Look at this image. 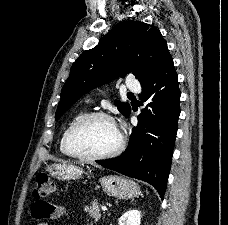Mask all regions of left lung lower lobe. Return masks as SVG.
<instances>
[{
  "label": "left lung lower lobe",
  "mask_w": 228,
  "mask_h": 225,
  "mask_svg": "<svg viewBox=\"0 0 228 225\" xmlns=\"http://www.w3.org/2000/svg\"><path fill=\"white\" fill-rule=\"evenodd\" d=\"M141 86L140 99L149 103L138 116V125L132 129L128 147L117 158L96 162L148 182L163 199L180 115L178 76L171 55Z\"/></svg>",
  "instance_id": "left-lung-lower-lobe-1"
}]
</instances>
